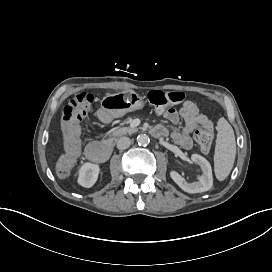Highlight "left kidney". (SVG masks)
Listing matches in <instances>:
<instances>
[{
	"mask_svg": "<svg viewBox=\"0 0 272 272\" xmlns=\"http://www.w3.org/2000/svg\"><path fill=\"white\" fill-rule=\"evenodd\" d=\"M192 160L202 167L203 174L199 176V181L189 184L177 172H171L172 178L184 191L189 193H199L209 190L213 184L212 168L210 163L199 154H193Z\"/></svg>",
	"mask_w": 272,
	"mask_h": 272,
	"instance_id": "1",
	"label": "left kidney"
}]
</instances>
